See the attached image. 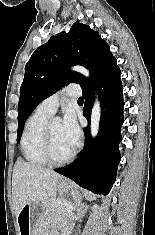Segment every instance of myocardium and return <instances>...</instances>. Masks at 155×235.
Segmentation results:
<instances>
[{"instance_id": "obj_1", "label": "myocardium", "mask_w": 155, "mask_h": 235, "mask_svg": "<svg viewBox=\"0 0 155 235\" xmlns=\"http://www.w3.org/2000/svg\"><path fill=\"white\" fill-rule=\"evenodd\" d=\"M51 124L52 121H49L44 129L43 133V142H42V154L49 164L53 165H63L68 162H70L74 155H75V150L73 149L69 155H67L64 158L58 159L53 155L52 152V139H51Z\"/></svg>"}]
</instances>
